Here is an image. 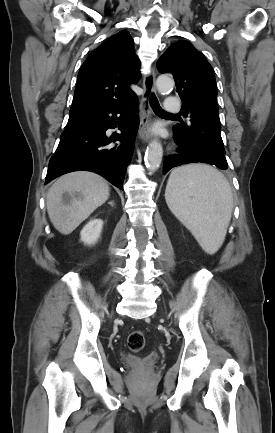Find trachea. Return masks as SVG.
I'll return each mask as SVG.
<instances>
[{
  "label": "trachea",
  "instance_id": "1",
  "mask_svg": "<svg viewBox=\"0 0 275 433\" xmlns=\"http://www.w3.org/2000/svg\"><path fill=\"white\" fill-rule=\"evenodd\" d=\"M150 104L151 107L153 109L154 112L162 114V115H168V116H173V117H178V115L175 114H168L166 112H164L161 108V106L159 105L158 99L156 98L155 95H152L150 98Z\"/></svg>",
  "mask_w": 275,
  "mask_h": 433
}]
</instances>
